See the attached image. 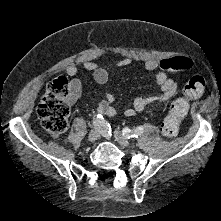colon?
I'll return each mask as SVG.
<instances>
[{"label": "colon", "mask_w": 221, "mask_h": 221, "mask_svg": "<svg viewBox=\"0 0 221 221\" xmlns=\"http://www.w3.org/2000/svg\"><path fill=\"white\" fill-rule=\"evenodd\" d=\"M193 66L187 57H173L160 61L163 71H187ZM206 86L200 75L191 77L183 89V97L175 100L166 115L161 131L164 136L174 137L178 133L180 122L185 116L189 101L198 98ZM73 91L70 82L65 77H58L49 86L42 97L37 113L43 129L53 137L61 136L67 129L70 117V101Z\"/></svg>", "instance_id": "colon-1"}]
</instances>
